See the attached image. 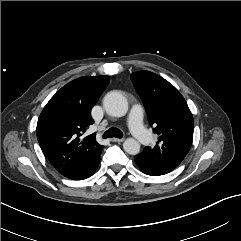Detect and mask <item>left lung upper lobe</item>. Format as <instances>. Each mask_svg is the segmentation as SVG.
Returning <instances> with one entry per match:
<instances>
[{"mask_svg":"<svg viewBox=\"0 0 241 241\" xmlns=\"http://www.w3.org/2000/svg\"><path fill=\"white\" fill-rule=\"evenodd\" d=\"M153 132L159 136L154 147H145L135 156L143 165L175 169L190 150L194 120L179 91L167 80L149 71L131 74Z\"/></svg>","mask_w":241,"mask_h":241,"instance_id":"left-lung-upper-lobe-1","label":"left lung upper lobe"}]
</instances>
